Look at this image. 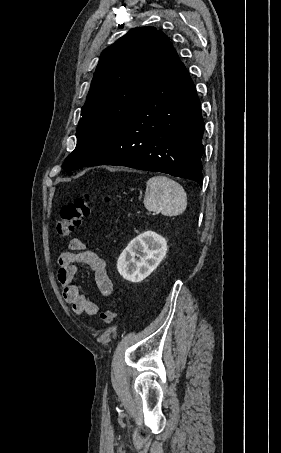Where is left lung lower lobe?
<instances>
[{
	"label": "left lung lower lobe",
	"mask_w": 281,
	"mask_h": 453,
	"mask_svg": "<svg viewBox=\"0 0 281 453\" xmlns=\"http://www.w3.org/2000/svg\"><path fill=\"white\" fill-rule=\"evenodd\" d=\"M203 132L195 86L173 48L133 113L86 166L119 165L163 172L202 185Z\"/></svg>",
	"instance_id": "left-lung-lower-lobe-1"
}]
</instances>
